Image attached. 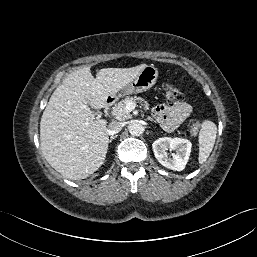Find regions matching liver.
<instances>
[{
  "instance_id": "obj_1",
  "label": "liver",
  "mask_w": 257,
  "mask_h": 257,
  "mask_svg": "<svg viewBox=\"0 0 257 257\" xmlns=\"http://www.w3.org/2000/svg\"><path fill=\"white\" fill-rule=\"evenodd\" d=\"M146 64L103 68L96 78L87 66L69 74L51 95L40 122V145L47 162L70 180L87 178L104 163L108 149L107 122L91 108L105 107Z\"/></svg>"
}]
</instances>
